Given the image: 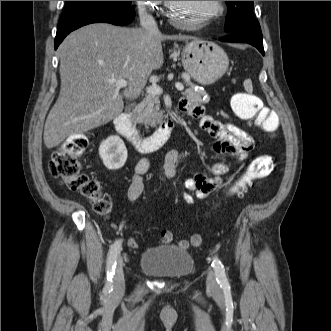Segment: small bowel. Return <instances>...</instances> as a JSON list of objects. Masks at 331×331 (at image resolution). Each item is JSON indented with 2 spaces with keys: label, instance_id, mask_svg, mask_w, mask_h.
<instances>
[{
  "label": "small bowel",
  "instance_id": "c3829d8e",
  "mask_svg": "<svg viewBox=\"0 0 331 331\" xmlns=\"http://www.w3.org/2000/svg\"><path fill=\"white\" fill-rule=\"evenodd\" d=\"M179 112L187 113L193 118L199 119L200 127L207 131L214 139L212 151L216 155H230L237 161H243L248 153L254 148L253 138L243 129L232 123H224L215 120L213 117L206 115L201 105L196 104L188 99L181 100L178 105ZM179 161V152L170 150L164 161L165 174L168 177H174L177 174V164ZM149 169V161L141 159L135 166L134 175L127 191L129 201L135 202L141 196L144 183L143 174ZM229 171V165L224 162H218L211 166L209 172H199L192 177L185 179V188L192 192H184L183 198L187 203H193L194 198H208L222 183L223 176ZM172 239L168 231H162L159 236V243L166 244ZM177 246L187 248L189 242L181 239L176 243ZM132 249L138 247L134 238L129 241Z\"/></svg>",
  "mask_w": 331,
  "mask_h": 331
}]
</instances>
